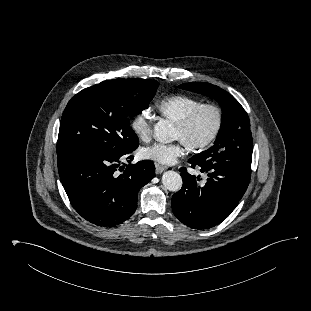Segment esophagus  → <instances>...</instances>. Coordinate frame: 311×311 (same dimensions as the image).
I'll use <instances>...</instances> for the list:
<instances>
[{
  "label": "esophagus",
  "mask_w": 311,
  "mask_h": 311,
  "mask_svg": "<svg viewBox=\"0 0 311 311\" xmlns=\"http://www.w3.org/2000/svg\"><path fill=\"white\" fill-rule=\"evenodd\" d=\"M167 168L165 166L156 164L155 165V172L156 174H161L162 172H164Z\"/></svg>",
  "instance_id": "1"
}]
</instances>
